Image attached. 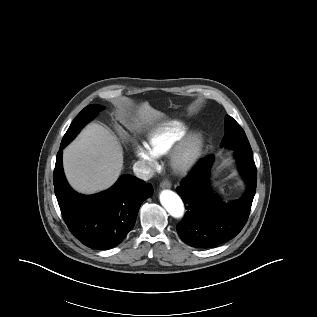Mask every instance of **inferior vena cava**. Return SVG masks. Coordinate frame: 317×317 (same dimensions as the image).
I'll use <instances>...</instances> for the list:
<instances>
[{
  "label": "inferior vena cava",
  "mask_w": 317,
  "mask_h": 317,
  "mask_svg": "<svg viewBox=\"0 0 317 317\" xmlns=\"http://www.w3.org/2000/svg\"><path fill=\"white\" fill-rule=\"evenodd\" d=\"M133 171L136 177L145 181L151 179L155 174V171L152 168V166L146 163L145 161L135 162V164L133 165Z\"/></svg>",
  "instance_id": "obj_1"
}]
</instances>
